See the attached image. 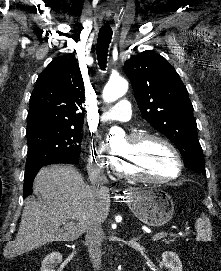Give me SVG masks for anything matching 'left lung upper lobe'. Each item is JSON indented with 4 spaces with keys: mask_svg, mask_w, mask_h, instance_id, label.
<instances>
[{
    "mask_svg": "<svg viewBox=\"0 0 221 271\" xmlns=\"http://www.w3.org/2000/svg\"><path fill=\"white\" fill-rule=\"evenodd\" d=\"M143 118L180 150L185 167L206 175L188 91L160 54L144 51L124 64Z\"/></svg>",
    "mask_w": 221,
    "mask_h": 271,
    "instance_id": "1",
    "label": "left lung upper lobe"
}]
</instances>
